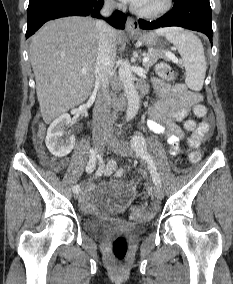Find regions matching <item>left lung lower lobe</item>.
<instances>
[{"label":"left lung lower lobe","instance_id":"1","mask_svg":"<svg viewBox=\"0 0 233 284\" xmlns=\"http://www.w3.org/2000/svg\"><path fill=\"white\" fill-rule=\"evenodd\" d=\"M142 29L179 26L206 34L212 42L211 7L209 0H175L172 10L156 21L139 19Z\"/></svg>","mask_w":233,"mask_h":284}]
</instances>
